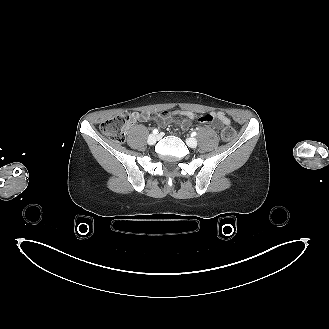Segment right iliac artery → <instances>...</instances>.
I'll list each match as a JSON object with an SVG mask.
<instances>
[{"label":"right iliac artery","mask_w":329,"mask_h":329,"mask_svg":"<svg viewBox=\"0 0 329 329\" xmlns=\"http://www.w3.org/2000/svg\"><path fill=\"white\" fill-rule=\"evenodd\" d=\"M158 133H159V131H158L157 129H154V130H153V134H154V135H157Z\"/></svg>","instance_id":"obj_1"}]
</instances>
